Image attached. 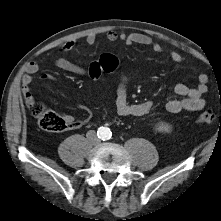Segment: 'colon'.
Listing matches in <instances>:
<instances>
[{"label": "colon", "mask_w": 221, "mask_h": 221, "mask_svg": "<svg viewBox=\"0 0 221 221\" xmlns=\"http://www.w3.org/2000/svg\"><path fill=\"white\" fill-rule=\"evenodd\" d=\"M119 59L111 54H104L99 60L92 62L89 67L90 76L98 78L103 72H112L119 67ZM29 108L36 118L39 126L48 132H62L68 129L66 119L47 109L43 104L31 102ZM216 120V115L212 109H204L198 115V121L202 124H211Z\"/></svg>", "instance_id": "colon-1"}]
</instances>
